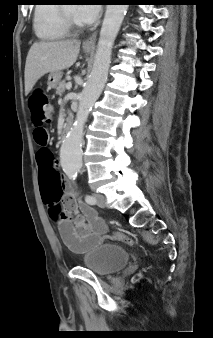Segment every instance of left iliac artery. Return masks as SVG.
Segmentation results:
<instances>
[{
	"label": "left iliac artery",
	"instance_id": "obj_1",
	"mask_svg": "<svg viewBox=\"0 0 213 338\" xmlns=\"http://www.w3.org/2000/svg\"><path fill=\"white\" fill-rule=\"evenodd\" d=\"M85 201L90 204V205H94L96 203V199L95 197L91 196V195H86L85 196Z\"/></svg>",
	"mask_w": 213,
	"mask_h": 338
}]
</instances>
